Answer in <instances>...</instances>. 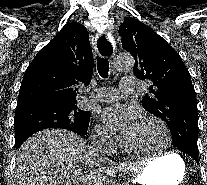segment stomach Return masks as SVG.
Wrapping results in <instances>:
<instances>
[{"instance_id":"obj_1","label":"stomach","mask_w":207,"mask_h":185,"mask_svg":"<svg viewBox=\"0 0 207 185\" xmlns=\"http://www.w3.org/2000/svg\"><path fill=\"white\" fill-rule=\"evenodd\" d=\"M185 175V163L177 154L159 157L144 168L137 177L139 185H179Z\"/></svg>"}]
</instances>
